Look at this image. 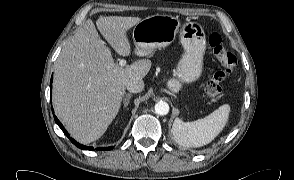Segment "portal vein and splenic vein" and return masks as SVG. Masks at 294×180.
<instances>
[{
    "label": "portal vein and splenic vein",
    "instance_id": "obj_1",
    "mask_svg": "<svg viewBox=\"0 0 294 180\" xmlns=\"http://www.w3.org/2000/svg\"><path fill=\"white\" fill-rule=\"evenodd\" d=\"M126 65L125 59H119V66L124 67Z\"/></svg>",
    "mask_w": 294,
    "mask_h": 180
}]
</instances>
